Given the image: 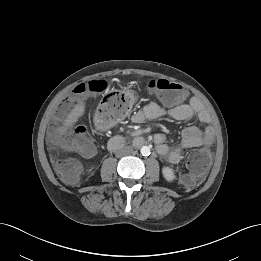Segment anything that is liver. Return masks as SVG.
Returning <instances> with one entry per match:
<instances>
[{
    "label": "liver",
    "mask_w": 261,
    "mask_h": 261,
    "mask_svg": "<svg viewBox=\"0 0 261 261\" xmlns=\"http://www.w3.org/2000/svg\"><path fill=\"white\" fill-rule=\"evenodd\" d=\"M85 112V105L83 103L77 104L74 109L71 111L67 119L65 120L63 127L61 128L60 132L64 133L69 128H71L79 117H81Z\"/></svg>",
    "instance_id": "obj_1"
}]
</instances>
